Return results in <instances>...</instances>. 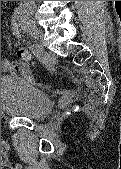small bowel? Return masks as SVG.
<instances>
[{
	"mask_svg": "<svg viewBox=\"0 0 121 169\" xmlns=\"http://www.w3.org/2000/svg\"><path fill=\"white\" fill-rule=\"evenodd\" d=\"M1 70L3 73L16 75L25 80L31 79L30 67L25 62L4 59L1 64Z\"/></svg>",
	"mask_w": 121,
	"mask_h": 169,
	"instance_id": "obj_1",
	"label": "small bowel"
}]
</instances>
